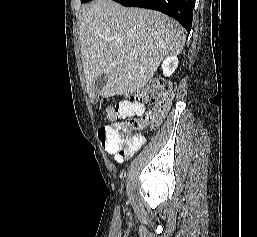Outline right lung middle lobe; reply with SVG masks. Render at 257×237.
Here are the masks:
<instances>
[{"label":"right lung middle lobe","mask_w":257,"mask_h":237,"mask_svg":"<svg viewBox=\"0 0 257 237\" xmlns=\"http://www.w3.org/2000/svg\"><path fill=\"white\" fill-rule=\"evenodd\" d=\"M90 0H81V3H85V2H88Z\"/></svg>","instance_id":"right-lung-middle-lobe-1"}]
</instances>
